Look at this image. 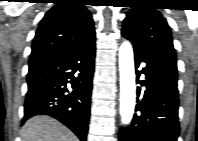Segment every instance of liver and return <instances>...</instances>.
<instances>
[{"label": "liver", "instance_id": "1", "mask_svg": "<svg viewBox=\"0 0 198 141\" xmlns=\"http://www.w3.org/2000/svg\"><path fill=\"white\" fill-rule=\"evenodd\" d=\"M22 141H78L77 137L56 119L35 116L20 131Z\"/></svg>", "mask_w": 198, "mask_h": 141}]
</instances>
